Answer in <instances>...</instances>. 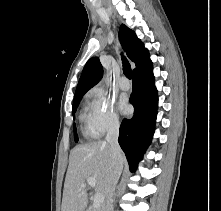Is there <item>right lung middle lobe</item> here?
<instances>
[{
  "mask_svg": "<svg viewBox=\"0 0 221 211\" xmlns=\"http://www.w3.org/2000/svg\"><path fill=\"white\" fill-rule=\"evenodd\" d=\"M81 98H82V96H79V97H75L74 100H73V108H72L73 116H74V114L76 112V109H77V107L79 105V102H80ZM74 140H75V142L78 141V136H77L75 124H74Z\"/></svg>",
  "mask_w": 221,
  "mask_h": 211,
  "instance_id": "1",
  "label": "right lung middle lobe"
}]
</instances>
